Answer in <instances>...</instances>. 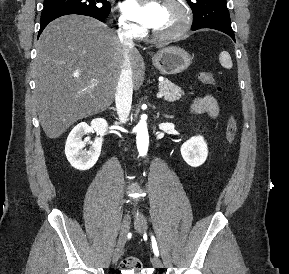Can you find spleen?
<instances>
[{
    "mask_svg": "<svg viewBox=\"0 0 289 274\" xmlns=\"http://www.w3.org/2000/svg\"><path fill=\"white\" fill-rule=\"evenodd\" d=\"M220 63L221 65L226 68V69H231L233 64H232V60H231V57L229 55L228 52L224 51L220 54Z\"/></svg>",
    "mask_w": 289,
    "mask_h": 274,
    "instance_id": "spleen-1",
    "label": "spleen"
}]
</instances>
